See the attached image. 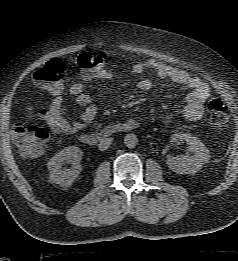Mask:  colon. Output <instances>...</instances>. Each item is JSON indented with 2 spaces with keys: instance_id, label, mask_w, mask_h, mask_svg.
<instances>
[{
  "instance_id": "obj_1",
  "label": "colon",
  "mask_w": 238,
  "mask_h": 261,
  "mask_svg": "<svg viewBox=\"0 0 238 261\" xmlns=\"http://www.w3.org/2000/svg\"><path fill=\"white\" fill-rule=\"evenodd\" d=\"M107 56L102 52L87 51L77 58L78 67L85 72H94L105 65ZM65 65L61 60L53 59L37 70L33 79L37 85L52 93L62 91V80ZM207 114L213 130L222 134L227 127L228 110L220 99H212L207 105ZM12 138L21 155L35 157L41 154L50 139L49 132L38 125L16 123L12 130Z\"/></svg>"
}]
</instances>
